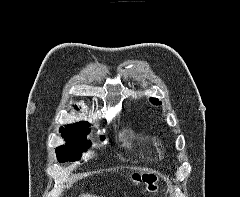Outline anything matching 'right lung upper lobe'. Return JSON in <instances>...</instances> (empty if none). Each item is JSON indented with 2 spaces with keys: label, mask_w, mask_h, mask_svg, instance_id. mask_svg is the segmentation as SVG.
<instances>
[{
  "label": "right lung upper lobe",
  "mask_w": 240,
  "mask_h": 197,
  "mask_svg": "<svg viewBox=\"0 0 240 197\" xmlns=\"http://www.w3.org/2000/svg\"><path fill=\"white\" fill-rule=\"evenodd\" d=\"M75 108H76V106H75ZM88 126H90V124L88 122H79V123H75V124H72V125H66L65 127H69V128H88Z\"/></svg>",
  "instance_id": "cb5924a9"
}]
</instances>
